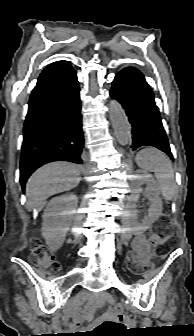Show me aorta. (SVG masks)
<instances>
[{"instance_id": "1", "label": "aorta", "mask_w": 194, "mask_h": 336, "mask_svg": "<svg viewBox=\"0 0 194 336\" xmlns=\"http://www.w3.org/2000/svg\"><path fill=\"white\" fill-rule=\"evenodd\" d=\"M109 118L112 123L114 135L122 146L131 141V127L124 109L117 100L109 103Z\"/></svg>"}]
</instances>
